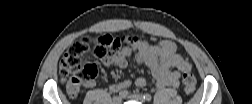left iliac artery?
<instances>
[{
	"label": "left iliac artery",
	"mask_w": 252,
	"mask_h": 104,
	"mask_svg": "<svg viewBox=\"0 0 252 104\" xmlns=\"http://www.w3.org/2000/svg\"><path fill=\"white\" fill-rule=\"evenodd\" d=\"M143 98H144V100H146V101H151V99H152V97H151L150 94H144V95H143Z\"/></svg>",
	"instance_id": "left-iliac-artery-1"
}]
</instances>
